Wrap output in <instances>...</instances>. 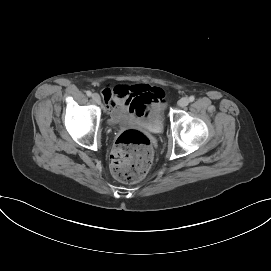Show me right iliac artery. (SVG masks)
Segmentation results:
<instances>
[{"label":"right iliac artery","instance_id":"1","mask_svg":"<svg viewBox=\"0 0 271 271\" xmlns=\"http://www.w3.org/2000/svg\"><path fill=\"white\" fill-rule=\"evenodd\" d=\"M86 94H87V96H89V97L92 95L91 91H87Z\"/></svg>","mask_w":271,"mask_h":271}]
</instances>
